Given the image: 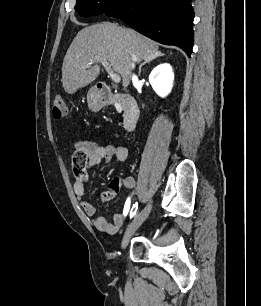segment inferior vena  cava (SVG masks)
Returning a JSON list of instances; mask_svg holds the SVG:
<instances>
[{
    "label": "inferior vena cava",
    "mask_w": 261,
    "mask_h": 306,
    "mask_svg": "<svg viewBox=\"0 0 261 306\" xmlns=\"http://www.w3.org/2000/svg\"><path fill=\"white\" fill-rule=\"evenodd\" d=\"M133 66H134V64H133ZM136 76L135 75H133V78H135Z\"/></svg>",
    "instance_id": "1"
}]
</instances>
